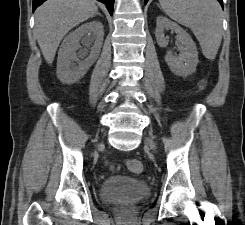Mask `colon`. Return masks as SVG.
Here are the masks:
<instances>
[{
	"mask_svg": "<svg viewBox=\"0 0 245 225\" xmlns=\"http://www.w3.org/2000/svg\"><path fill=\"white\" fill-rule=\"evenodd\" d=\"M127 169L132 173H140L144 169V165L139 160H128L126 162Z\"/></svg>",
	"mask_w": 245,
	"mask_h": 225,
	"instance_id": "obj_1",
	"label": "colon"
}]
</instances>
